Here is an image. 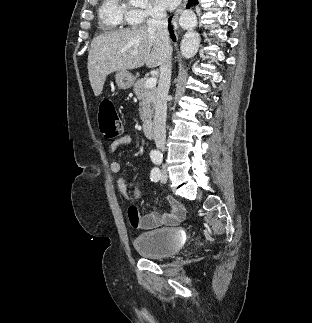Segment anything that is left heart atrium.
Wrapping results in <instances>:
<instances>
[{"label":"left heart atrium","instance_id":"left-heart-atrium-1","mask_svg":"<svg viewBox=\"0 0 312 323\" xmlns=\"http://www.w3.org/2000/svg\"><path fill=\"white\" fill-rule=\"evenodd\" d=\"M159 3L165 12H174L175 8H179L180 4L184 3V0H159Z\"/></svg>","mask_w":312,"mask_h":323}]
</instances>
